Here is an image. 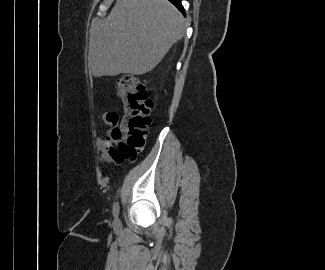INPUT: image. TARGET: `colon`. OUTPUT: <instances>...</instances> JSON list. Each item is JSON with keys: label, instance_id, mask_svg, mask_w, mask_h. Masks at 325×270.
Returning <instances> with one entry per match:
<instances>
[{"label": "colon", "instance_id": "5ec220e1", "mask_svg": "<svg viewBox=\"0 0 325 270\" xmlns=\"http://www.w3.org/2000/svg\"><path fill=\"white\" fill-rule=\"evenodd\" d=\"M116 85L124 114L112 129L111 139L117 144L121 155L135 160L145 145L153 102L145 85L133 75L120 76Z\"/></svg>", "mask_w": 325, "mask_h": 270}]
</instances>
